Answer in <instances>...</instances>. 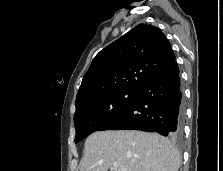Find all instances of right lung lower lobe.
<instances>
[{
	"label": "right lung lower lobe",
	"mask_w": 223,
	"mask_h": 171,
	"mask_svg": "<svg viewBox=\"0 0 223 171\" xmlns=\"http://www.w3.org/2000/svg\"><path fill=\"white\" fill-rule=\"evenodd\" d=\"M184 121L183 94L176 61L141 88L135 99L99 131L135 129L178 139Z\"/></svg>",
	"instance_id": "obj_1"
}]
</instances>
